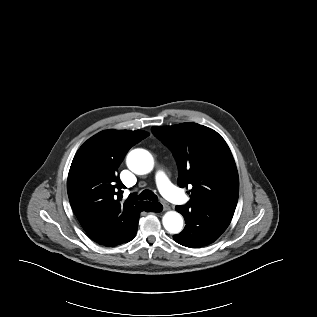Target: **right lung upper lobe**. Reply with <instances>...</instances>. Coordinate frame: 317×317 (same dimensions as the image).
<instances>
[{
    "mask_svg": "<svg viewBox=\"0 0 317 317\" xmlns=\"http://www.w3.org/2000/svg\"><path fill=\"white\" fill-rule=\"evenodd\" d=\"M148 135L140 130H106L88 139L77 151L67 189L72 209L87 233L97 229L116 240L127 230L131 217L148 203L131 195L123 201L124 185L117 177L128 150Z\"/></svg>",
    "mask_w": 317,
    "mask_h": 317,
    "instance_id": "1",
    "label": "right lung upper lobe"
}]
</instances>
